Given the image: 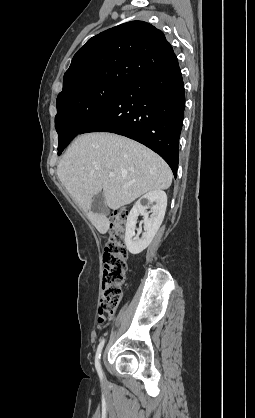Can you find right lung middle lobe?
<instances>
[{
    "instance_id": "right-lung-middle-lobe-1",
    "label": "right lung middle lobe",
    "mask_w": 255,
    "mask_h": 418,
    "mask_svg": "<svg viewBox=\"0 0 255 418\" xmlns=\"http://www.w3.org/2000/svg\"><path fill=\"white\" fill-rule=\"evenodd\" d=\"M128 84L98 81L58 95L55 128L58 155Z\"/></svg>"
}]
</instances>
